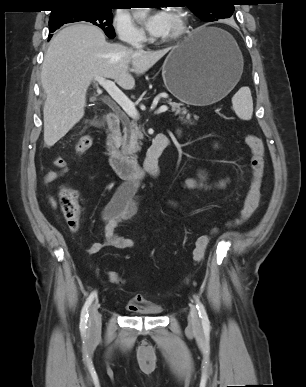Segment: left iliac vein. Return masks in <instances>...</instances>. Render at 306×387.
<instances>
[{
  "mask_svg": "<svg viewBox=\"0 0 306 387\" xmlns=\"http://www.w3.org/2000/svg\"><path fill=\"white\" fill-rule=\"evenodd\" d=\"M188 323L190 328L192 329H195V330L201 329L200 319L198 317L197 311L194 306H191L190 313L188 316Z\"/></svg>",
  "mask_w": 306,
  "mask_h": 387,
  "instance_id": "obj_1",
  "label": "left iliac vein"
}]
</instances>
